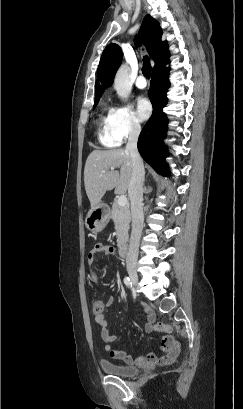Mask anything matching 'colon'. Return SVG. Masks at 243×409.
Instances as JSON below:
<instances>
[{
	"label": "colon",
	"mask_w": 243,
	"mask_h": 409,
	"mask_svg": "<svg viewBox=\"0 0 243 409\" xmlns=\"http://www.w3.org/2000/svg\"><path fill=\"white\" fill-rule=\"evenodd\" d=\"M92 310H93L94 313H99V312H101L103 310V301H102V299L97 298L92 302ZM155 329L157 331H166L167 332V331L170 330V327L168 325L164 324V323H157L155 325Z\"/></svg>",
	"instance_id": "obj_1"
}]
</instances>
